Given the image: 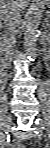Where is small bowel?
Listing matches in <instances>:
<instances>
[{
  "mask_svg": "<svg viewBox=\"0 0 50 148\" xmlns=\"http://www.w3.org/2000/svg\"><path fill=\"white\" fill-rule=\"evenodd\" d=\"M14 148H23L24 146L22 145V143L19 140H16L13 144Z\"/></svg>",
  "mask_w": 50,
  "mask_h": 148,
  "instance_id": "obj_1",
  "label": "small bowel"
}]
</instances>
